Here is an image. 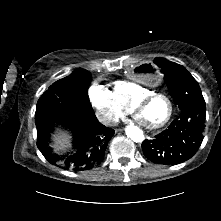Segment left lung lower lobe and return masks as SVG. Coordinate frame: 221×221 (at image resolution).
I'll list each match as a JSON object with an SVG mask.
<instances>
[{
  "instance_id": "1",
  "label": "left lung lower lobe",
  "mask_w": 221,
  "mask_h": 221,
  "mask_svg": "<svg viewBox=\"0 0 221 221\" xmlns=\"http://www.w3.org/2000/svg\"><path fill=\"white\" fill-rule=\"evenodd\" d=\"M206 120L205 102L181 109V114L168 129L153 139L144 140V155L152 162L177 165L194 156L203 137Z\"/></svg>"
}]
</instances>
